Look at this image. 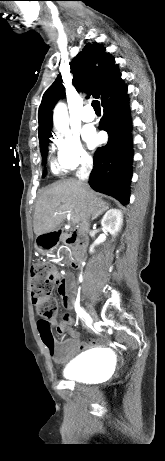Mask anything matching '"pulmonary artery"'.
<instances>
[{
    "label": "pulmonary artery",
    "mask_w": 165,
    "mask_h": 461,
    "mask_svg": "<svg viewBox=\"0 0 165 461\" xmlns=\"http://www.w3.org/2000/svg\"><path fill=\"white\" fill-rule=\"evenodd\" d=\"M81 119L84 122H92L95 119V114L91 110L90 106L87 105V106L83 107V109L81 111Z\"/></svg>",
    "instance_id": "pulmonary-artery-1"
}]
</instances>
